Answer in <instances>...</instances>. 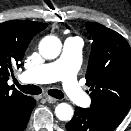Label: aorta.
Segmentation results:
<instances>
[{
    "label": "aorta",
    "mask_w": 131,
    "mask_h": 131,
    "mask_svg": "<svg viewBox=\"0 0 131 131\" xmlns=\"http://www.w3.org/2000/svg\"><path fill=\"white\" fill-rule=\"evenodd\" d=\"M62 44L56 36H46L39 44V52L45 59H55L61 52ZM59 120L67 121L73 116V108L67 103H60L55 108Z\"/></svg>",
    "instance_id": "obj_1"
}]
</instances>
